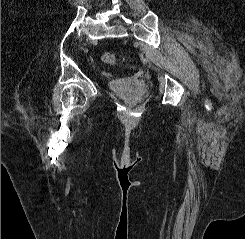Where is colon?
Returning <instances> with one entry per match:
<instances>
[{"label": "colon", "mask_w": 245, "mask_h": 239, "mask_svg": "<svg viewBox=\"0 0 245 239\" xmlns=\"http://www.w3.org/2000/svg\"><path fill=\"white\" fill-rule=\"evenodd\" d=\"M101 60L105 64H114L116 62V56L113 53H105L101 56Z\"/></svg>", "instance_id": "colon-1"}]
</instances>
